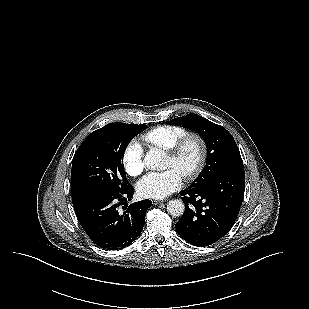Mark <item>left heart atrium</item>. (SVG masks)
I'll use <instances>...</instances> for the list:
<instances>
[{"mask_svg":"<svg viewBox=\"0 0 309 309\" xmlns=\"http://www.w3.org/2000/svg\"><path fill=\"white\" fill-rule=\"evenodd\" d=\"M182 176L174 169L163 172H151L137 184V192L141 197L162 199L179 189Z\"/></svg>","mask_w":309,"mask_h":309,"instance_id":"1","label":"left heart atrium"}]
</instances>
